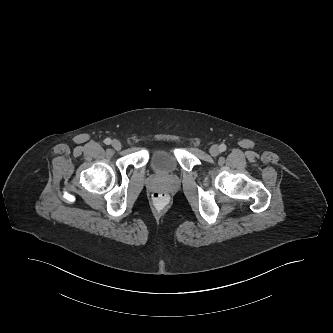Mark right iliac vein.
<instances>
[{"instance_id":"63e3f726","label":"right iliac vein","mask_w":333,"mask_h":333,"mask_svg":"<svg viewBox=\"0 0 333 333\" xmlns=\"http://www.w3.org/2000/svg\"><path fill=\"white\" fill-rule=\"evenodd\" d=\"M112 146L115 150H120L121 147H122L120 141H118V140H113L112 141Z\"/></svg>"}]
</instances>
